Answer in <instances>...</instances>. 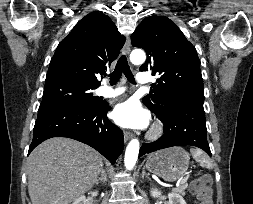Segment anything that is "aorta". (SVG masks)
<instances>
[{"instance_id": "aorta-1", "label": "aorta", "mask_w": 253, "mask_h": 204, "mask_svg": "<svg viewBox=\"0 0 253 204\" xmlns=\"http://www.w3.org/2000/svg\"><path fill=\"white\" fill-rule=\"evenodd\" d=\"M146 59L145 52L140 49L133 50L130 55V60L133 64L139 65L144 63ZM140 144L137 139H132L125 152L124 164L126 169L131 170L136 164L139 154Z\"/></svg>"}]
</instances>
